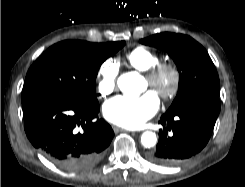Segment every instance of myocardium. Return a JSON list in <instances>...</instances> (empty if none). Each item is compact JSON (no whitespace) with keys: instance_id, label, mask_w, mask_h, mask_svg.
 I'll return each mask as SVG.
<instances>
[{"instance_id":"obj_1","label":"myocardium","mask_w":245,"mask_h":187,"mask_svg":"<svg viewBox=\"0 0 245 187\" xmlns=\"http://www.w3.org/2000/svg\"><path fill=\"white\" fill-rule=\"evenodd\" d=\"M169 77L170 85L168 88H162L164 78ZM146 78L150 87L164 101L173 100L181 88L182 76L180 69L172 62H158L146 71Z\"/></svg>"}]
</instances>
